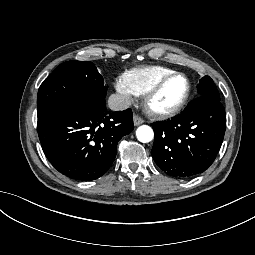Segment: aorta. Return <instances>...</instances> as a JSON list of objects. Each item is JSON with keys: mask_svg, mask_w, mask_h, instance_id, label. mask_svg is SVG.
I'll return each instance as SVG.
<instances>
[{"mask_svg": "<svg viewBox=\"0 0 255 255\" xmlns=\"http://www.w3.org/2000/svg\"><path fill=\"white\" fill-rule=\"evenodd\" d=\"M136 136L140 142L147 143L153 139L154 133L151 127L142 125L136 130Z\"/></svg>", "mask_w": 255, "mask_h": 255, "instance_id": "1", "label": "aorta"}]
</instances>
